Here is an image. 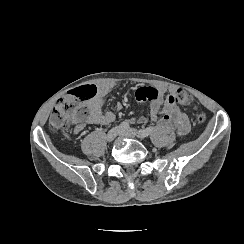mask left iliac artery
Here are the masks:
<instances>
[{"instance_id": "1", "label": "left iliac artery", "mask_w": 244, "mask_h": 244, "mask_svg": "<svg viewBox=\"0 0 244 244\" xmlns=\"http://www.w3.org/2000/svg\"><path fill=\"white\" fill-rule=\"evenodd\" d=\"M153 130H154V127H152V126L147 127L145 129H140L138 132V135L141 138H145V137L149 136L153 132Z\"/></svg>"}]
</instances>
